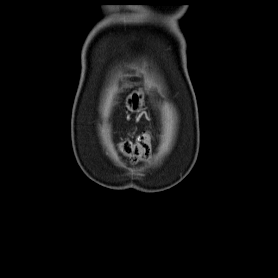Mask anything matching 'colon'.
I'll list each match as a JSON object with an SVG mask.
<instances>
[{
	"label": "colon",
	"instance_id": "1",
	"mask_svg": "<svg viewBox=\"0 0 278 278\" xmlns=\"http://www.w3.org/2000/svg\"><path fill=\"white\" fill-rule=\"evenodd\" d=\"M120 151L132 161L145 159L150 153V136L141 134L135 141L124 140L119 145Z\"/></svg>",
	"mask_w": 278,
	"mask_h": 278
}]
</instances>
